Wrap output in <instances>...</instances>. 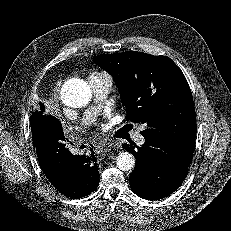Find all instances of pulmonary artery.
Returning a JSON list of instances; mask_svg holds the SVG:
<instances>
[{
    "label": "pulmonary artery",
    "mask_w": 231,
    "mask_h": 231,
    "mask_svg": "<svg viewBox=\"0 0 231 231\" xmlns=\"http://www.w3.org/2000/svg\"><path fill=\"white\" fill-rule=\"evenodd\" d=\"M89 82L92 86L96 103L87 111L85 115L86 120H90L94 113L100 108V102L107 96L112 86V80L109 77H90ZM134 140L140 145L144 143L145 139L140 130L134 134Z\"/></svg>",
    "instance_id": "pulmonary-artery-1"
}]
</instances>
